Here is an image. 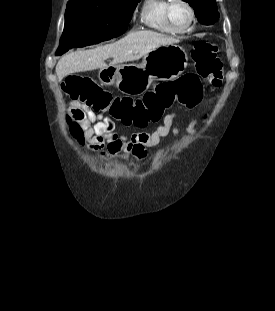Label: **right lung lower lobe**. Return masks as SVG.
Instances as JSON below:
<instances>
[{"label":"right lung lower lobe","instance_id":"98d812e1","mask_svg":"<svg viewBox=\"0 0 275 311\" xmlns=\"http://www.w3.org/2000/svg\"><path fill=\"white\" fill-rule=\"evenodd\" d=\"M120 29H121V30H119V31L116 33V36H115V37H117V36L123 34V33L126 31L127 27H126V28H120ZM111 38H113V37H111ZM111 38H109V39H111ZM109 39H105V40H109ZM101 41H104V40H101ZM101 41H99V42H101Z\"/></svg>","mask_w":275,"mask_h":311}]
</instances>
